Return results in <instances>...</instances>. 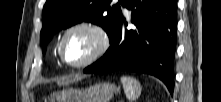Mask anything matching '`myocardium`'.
<instances>
[{"label": "myocardium", "instance_id": "myocardium-1", "mask_svg": "<svg viewBox=\"0 0 221 102\" xmlns=\"http://www.w3.org/2000/svg\"><path fill=\"white\" fill-rule=\"evenodd\" d=\"M76 31H86L90 33L95 40V46L89 56L84 60L78 63H70L65 58L64 45L68 36ZM110 45L111 37L104 26L91 21H79L69 26L63 33L58 46V54L63 64L71 68L79 69L87 67L100 59L108 51Z\"/></svg>", "mask_w": 221, "mask_h": 102}]
</instances>
